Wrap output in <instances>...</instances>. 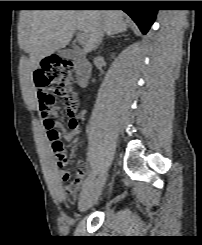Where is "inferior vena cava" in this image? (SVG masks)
I'll use <instances>...</instances> for the list:
<instances>
[{
    "label": "inferior vena cava",
    "instance_id": "inferior-vena-cava-1",
    "mask_svg": "<svg viewBox=\"0 0 202 245\" xmlns=\"http://www.w3.org/2000/svg\"><path fill=\"white\" fill-rule=\"evenodd\" d=\"M104 32L102 30H99L97 40H96V45H99L102 41ZM96 45L94 46V49H96Z\"/></svg>",
    "mask_w": 202,
    "mask_h": 245
}]
</instances>
